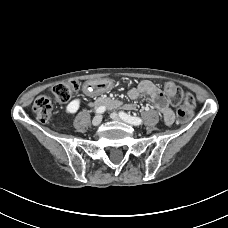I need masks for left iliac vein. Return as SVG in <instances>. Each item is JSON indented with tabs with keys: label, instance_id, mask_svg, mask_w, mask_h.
<instances>
[{
	"label": "left iliac vein",
	"instance_id": "obj_1",
	"mask_svg": "<svg viewBox=\"0 0 228 228\" xmlns=\"http://www.w3.org/2000/svg\"><path fill=\"white\" fill-rule=\"evenodd\" d=\"M110 117L113 120H116V121H124V122H127V121L123 120L117 113H114V112L110 114ZM127 123H129V122H127Z\"/></svg>",
	"mask_w": 228,
	"mask_h": 228
}]
</instances>
